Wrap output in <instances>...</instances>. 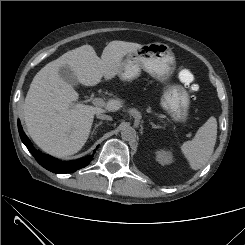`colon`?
<instances>
[{
    "mask_svg": "<svg viewBox=\"0 0 245 245\" xmlns=\"http://www.w3.org/2000/svg\"><path fill=\"white\" fill-rule=\"evenodd\" d=\"M184 84L187 85L188 90H189L190 93H196L198 91V89H199L198 85L191 84V82L190 83H184Z\"/></svg>",
    "mask_w": 245,
    "mask_h": 245,
    "instance_id": "obj_1",
    "label": "colon"
}]
</instances>
